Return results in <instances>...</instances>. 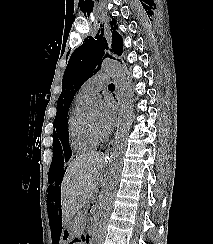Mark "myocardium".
<instances>
[{
    "instance_id": "f54148a6",
    "label": "myocardium",
    "mask_w": 213,
    "mask_h": 244,
    "mask_svg": "<svg viewBox=\"0 0 213 244\" xmlns=\"http://www.w3.org/2000/svg\"><path fill=\"white\" fill-rule=\"evenodd\" d=\"M88 123L90 126V129L93 133V135L98 139V140H104L107 138V133L104 131H101L99 128H97L91 120L88 118Z\"/></svg>"
}]
</instances>
